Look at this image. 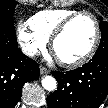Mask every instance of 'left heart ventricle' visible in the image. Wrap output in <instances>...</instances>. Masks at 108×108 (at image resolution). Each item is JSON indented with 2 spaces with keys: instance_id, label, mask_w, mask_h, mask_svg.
Returning a JSON list of instances; mask_svg holds the SVG:
<instances>
[{
  "instance_id": "left-heart-ventricle-1",
  "label": "left heart ventricle",
  "mask_w": 108,
  "mask_h": 108,
  "mask_svg": "<svg viewBox=\"0 0 108 108\" xmlns=\"http://www.w3.org/2000/svg\"><path fill=\"white\" fill-rule=\"evenodd\" d=\"M95 36V26L91 18L79 17L57 40L54 54L61 60H74L82 56L91 46Z\"/></svg>"
}]
</instances>
